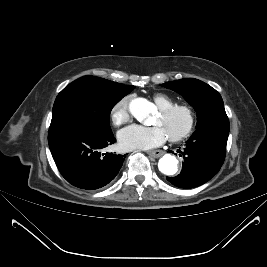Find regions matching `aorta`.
I'll return each instance as SVG.
<instances>
[{
    "label": "aorta",
    "mask_w": 267,
    "mask_h": 267,
    "mask_svg": "<svg viewBox=\"0 0 267 267\" xmlns=\"http://www.w3.org/2000/svg\"><path fill=\"white\" fill-rule=\"evenodd\" d=\"M152 103L145 98L133 99L129 104L130 113L141 123H146L147 118L153 111ZM160 172L171 176L178 171V160L176 157L165 154L158 162Z\"/></svg>",
    "instance_id": "aorta-1"
}]
</instances>
